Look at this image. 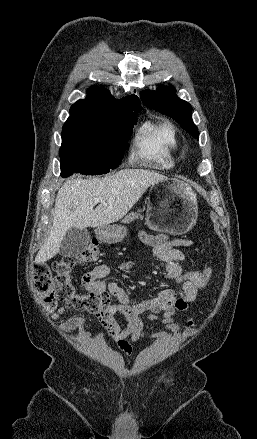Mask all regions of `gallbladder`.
<instances>
[{
	"label": "gallbladder",
	"mask_w": 257,
	"mask_h": 439,
	"mask_svg": "<svg viewBox=\"0 0 257 439\" xmlns=\"http://www.w3.org/2000/svg\"><path fill=\"white\" fill-rule=\"evenodd\" d=\"M90 234L87 229H69L60 244V254L63 256H77L88 245Z\"/></svg>",
	"instance_id": "gallbladder-1"
}]
</instances>
